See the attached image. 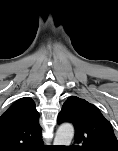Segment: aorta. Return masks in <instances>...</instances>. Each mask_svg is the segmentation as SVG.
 I'll list each match as a JSON object with an SVG mask.
<instances>
[{
	"mask_svg": "<svg viewBox=\"0 0 118 151\" xmlns=\"http://www.w3.org/2000/svg\"><path fill=\"white\" fill-rule=\"evenodd\" d=\"M74 137V127L72 124L65 123L59 126L54 139V145L70 146Z\"/></svg>",
	"mask_w": 118,
	"mask_h": 151,
	"instance_id": "762f6f07",
	"label": "aorta"
}]
</instances>
